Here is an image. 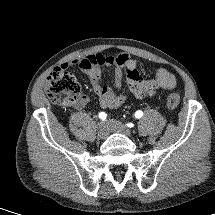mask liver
Listing matches in <instances>:
<instances>
[{"label":"liver","mask_w":215,"mask_h":215,"mask_svg":"<svg viewBox=\"0 0 215 215\" xmlns=\"http://www.w3.org/2000/svg\"><path fill=\"white\" fill-rule=\"evenodd\" d=\"M41 79H42V76L37 79V84H39L41 82Z\"/></svg>","instance_id":"6515ba94"}]
</instances>
